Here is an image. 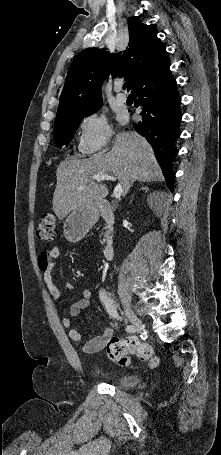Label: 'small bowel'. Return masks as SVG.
<instances>
[{"instance_id": "1", "label": "small bowel", "mask_w": 221, "mask_h": 455, "mask_svg": "<svg viewBox=\"0 0 221 455\" xmlns=\"http://www.w3.org/2000/svg\"><path fill=\"white\" fill-rule=\"evenodd\" d=\"M60 250L58 246H53L43 250L38 258V267L42 275V279L46 288L53 299H58L61 296V289L56 284L53 278V270L56 265V260L59 257ZM64 288L74 291L75 287L72 283L66 282ZM92 292L89 289H83L79 292V299L71 306L69 315L62 319V325L69 329V337L73 341H80L82 338L81 333L71 327L72 319L76 317L83 309L88 307L91 303ZM112 329L107 328L100 336H96L83 345L85 353H95L102 350L107 344L108 340L112 337Z\"/></svg>"}]
</instances>
